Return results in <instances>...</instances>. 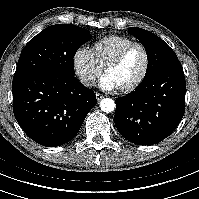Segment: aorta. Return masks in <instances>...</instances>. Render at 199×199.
<instances>
[{
  "instance_id": "1",
  "label": "aorta",
  "mask_w": 199,
  "mask_h": 199,
  "mask_svg": "<svg viewBox=\"0 0 199 199\" xmlns=\"http://www.w3.org/2000/svg\"><path fill=\"white\" fill-rule=\"evenodd\" d=\"M115 102L110 98H104L100 101V108L103 112L111 113L115 110Z\"/></svg>"
}]
</instances>
